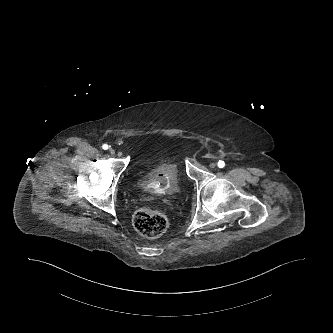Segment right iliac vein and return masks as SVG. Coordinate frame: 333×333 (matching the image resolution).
I'll use <instances>...</instances> for the list:
<instances>
[{
  "label": "right iliac vein",
  "mask_w": 333,
  "mask_h": 333,
  "mask_svg": "<svg viewBox=\"0 0 333 333\" xmlns=\"http://www.w3.org/2000/svg\"><path fill=\"white\" fill-rule=\"evenodd\" d=\"M109 152H110V154H112V155L115 154V150H114L113 148H110V149H109Z\"/></svg>",
  "instance_id": "1"
}]
</instances>
